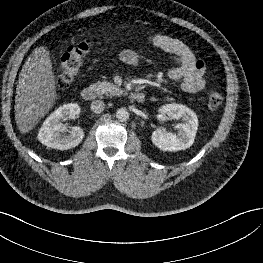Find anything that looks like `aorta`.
Segmentation results:
<instances>
[{"mask_svg": "<svg viewBox=\"0 0 263 263\" xmlns=\"http://www.w3.org/2000/svg\"><path fill=\"white\" fill-rule=\"evenodd\" d=\"M116 117L121 122L127 121L129 118V112L125 108H119L116 112Z\"/></svg>", "mask_w": 263, "mask_h": 263, "instance_id": "obj_1", "label": "aorta"}]
</instances>
